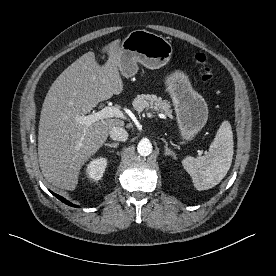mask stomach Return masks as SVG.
<instances>
[{
    "instance_id": "stomach-1",
    "label": "stomach",
    "mask_w": 276,
    "mask_h": 276,
    "mask_svg": "<svg viewBox=\"0 0 276 276\" xmlns=\"http://www.w3.org/2000/svg\"><path fill=\"white\" fill-rule=\"evenodd\" d=\"M172 54V45L161 35L134 30L120 44L118 68L123 77L132 78L138 72V64L159 69L170 61ZM165 88L172 99L181 138L192 141L208 119L205 99L192 88L188 76L179 70L166 77Z\"/></svg>"
}]
</instances>
